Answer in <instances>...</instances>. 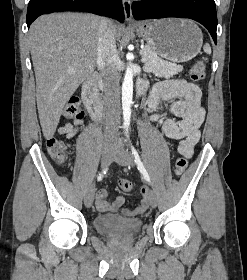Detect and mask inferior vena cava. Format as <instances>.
Here are the masks:
<instances>
[{
  "instance_id": "inferior-vena-cava-1",
  "label": "inferior vena cava",
  "mask_w": 247,
  "mask_h": 280,
  "mask_svg": "<svg viewBox=\"0 0 247 280\" xmlns=\"http://www.w3.org/2000/svg\"><path fill=\"white\" fill-rule=\"evenodd\" d=\"M98 35L96 62L104 82L106 135L108 139H113L119 128L120 86L116 32L110 19L100 20Z\"/></svg>"
}]
</instances>
